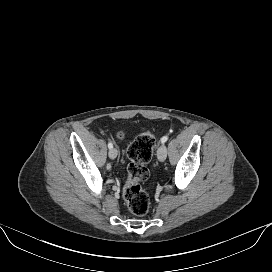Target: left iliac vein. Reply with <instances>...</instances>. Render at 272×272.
<instances>
[{
    "instance_id": "1",
    "label": "left iliac vein",
    "mask_w": 272,
    "mask_h": 272,
    "mask_svg": "<svg viewBox=\"0 0 272 272\" xmlns=\"http://www.w3.org/2000/svg\"><path fill=\"white\" fill-rule=\"evenodd\" d=\"M157 157L159 159V161L163 162L165 161L166 157H167V148L164 144H162L158 150H157Z\"/></svg>"
}]
</instances>
